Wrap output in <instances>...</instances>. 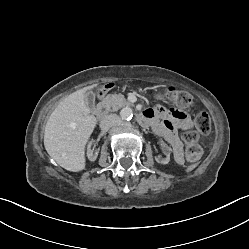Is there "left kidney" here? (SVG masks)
Returning a JSON list of instances; mask_svg holds the SVG:
<instances>
[{
  "instance_id": "5707ae66",
  "label": "left kidney",
  "mask_w": 249,
  "mask_h": 249,
  "mask_svg": "<svg viewBox=\"0 0 249 249\" xmlns=\"http://www.w3.org/2000/svg\"><path fill=\"white\" fill-rule=\"evenodd\" d=\"M154 144L157 147L158 153L154 154L152 159L154 162L161 164H168L170 161V150L166 146V142L162 137H156L154 139Z\"/></svg>"
}]
</instances>
